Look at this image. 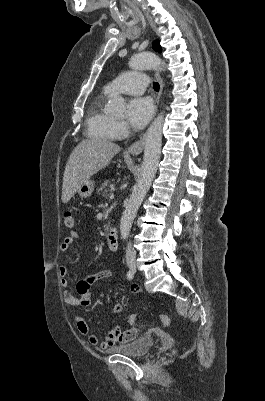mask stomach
Returning <instances> with one entry per match:
<instances>
[{
	"label": "stomach",
	"mask_w": 265,
	"mask_h": 401,
	"mask_svg": "<svg viewBox=\"0 0 265 401\" xmlns=\"http://www.w3.org/2000/svg\"><path fill=\"white\" fill-rule=\"evenodd\" d=\"M94 188V180H83L82 184H80L79 188H77L78 194H80L81 198H88L91 196V192H93Z\"/></svg>",
	"instance_id": "obj_1"
}]
</instances>
